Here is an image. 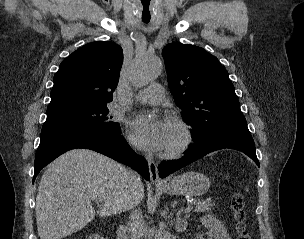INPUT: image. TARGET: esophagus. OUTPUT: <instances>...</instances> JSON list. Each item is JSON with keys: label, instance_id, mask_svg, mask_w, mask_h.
<instances>
[{"label": "esophagus", "instance_id": "obj_1", "mask_svg": "<svg viewBox=\"0 0 304 239\" xmlns=\"http://www.w3.org/2000/svg\"><path fill=\"white\" fill-rule=\"evenodd\" d=\"M148 167L150 173V181L153 184H162L163 181L160 179L158 174V168L156 163L152 159H148Z\"/></svg>", "mask_w": 304, "mask_h": 239}]
</instances>
